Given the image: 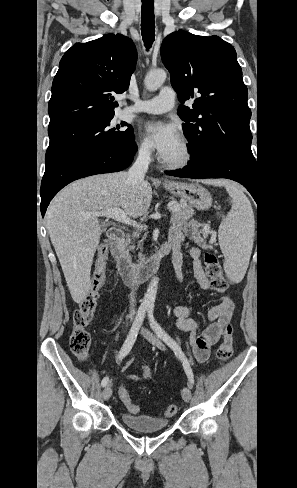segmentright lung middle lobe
<instances>
[{
  "mask_svg": "<svg viewBox=\"0 0 297 488\" xmlns=\"http://www.w3.org/2000/svg\"><path fill=\"white\" fill-rule=\"evenodd\" d=\"M112 118L85 121L48 133L50 144L45 155L46 168L74 151L134 141L133 128L128 126L120 130L119 125L111 128Z\"/></svg>",
  "mask_w": 297,
  "mask_h": 488,
  "instance_id": "right-lung-middle-lobe-1",
  "label": "right lung middle lobe"
}]
</instances>
